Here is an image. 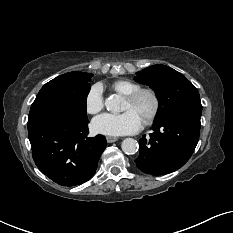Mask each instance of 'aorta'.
Returning <instances> with one entry per match:
<instances>
[{"label": "aorta", "mask_w": 233, "mask_h": 233, "mask_svg": "<svg viewBox=\"0 0 233 233\" xmlns=\"http://www.w3.org/2000/svg\"><path fill=\"white\" fill-rule=\"evenodd\" d=\"M121 98L118 95H112L105 100V106L108 111L117 113L120 111ZM122 151L128 155L135 154L139 145L133 138H126L121 143Z\"/></svg>", "instance_id": "aorta-1"}]
</instances>
